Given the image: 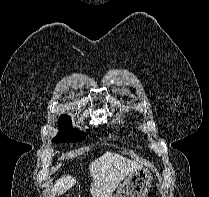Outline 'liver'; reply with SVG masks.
Wrapping results in <instances>:
<instances>
[{
  "label": "liver",
  "mask_w": 209,
  "mask_h": 197,
  "mask_svg": "<svg viewBox=\"0 0 209 197\" xmlns=\"http://www.w3.org/2000/svg\"><path fill=\"white\" fill-rule=\"evenodd\" d=\"M141 167L142 164L136 161L114 152H105L89 164L90 177L93 181L90 186L92 197H110L125 177ZM74 182L75 178L72 176L63 175L55 182L49 197L65 193Z\"/></svg>",
  "instance_id": "6515ba94"
}]
</instances>
